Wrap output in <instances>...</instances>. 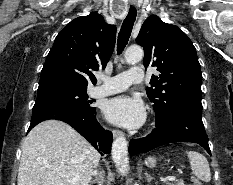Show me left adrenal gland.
<instances>
[{
	"label": "left adrenal gland",
	"instance_id": "a2214340",
	"mask_svg": "<svg viewBox=\"0 0 233 185\" xmlns=\"http://www.w3.org/2000/svg\"><path fill=\"white\" fill-rule=\"evenodd\" d=\"M146 180L147 182H151L152 177L148 174V172H145Z\"/></svg>",
	"mask_w": 233,
	"mask_h": 185
}]
</instances>
